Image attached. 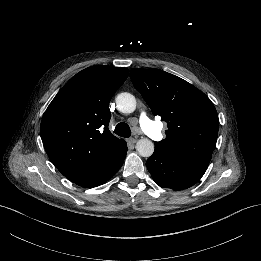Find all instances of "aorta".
<instances>
[{
	"label": "aorta",
	"mask_w": 261,
	"mask_h": 261,
	"mask_svg": "<svg viewBox=\"0 0 261 261\" xmlns=\"http://www.w3.org/2000/svg\"><path fill=\"white\" fill-rule=\"evenodd\" d=\"M116 105L123 113H132L136 109V99L130 93H121L116 97ZM136 150L142 157H150L154 152V144L151 140L140 139L136 144Z\"/></svg>",
	"instance_id": "762f6f07"
}]
</instances>
